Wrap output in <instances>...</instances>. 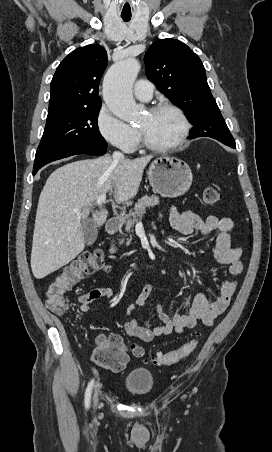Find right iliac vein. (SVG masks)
Returning a JSON list of instances; mask_svg holds the SVG:
<instances>
[{
    "label": "right iliac vein",
    "mask_w": 272,
    "mask_h": 452,
    "mask_svg": "<svg viewBox=\"0 0 272 452\" xmlns=\"http://www.w3.org/2000/svg\"><path fill=\"white\" fill-rule=\"evenodd\" d=\"M93 401H94V404L96 405L97 402H98V396H97V393L94 394Z\"/></svg>",
    "instance_id": "right-iliac-vein-1"
}]
</instances>
